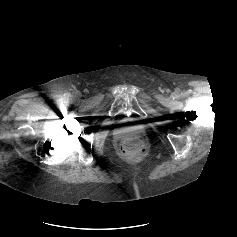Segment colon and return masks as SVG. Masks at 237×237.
Here are the masks:
<instances>
[{
    "mask_svg": "<svg viewBox=\"0 0 237 237\" xmlns=\"http://www.w3.org/2000/svg\"><path fill=\"white\" fill-rule=\"evenodd\" d=\"M121 151L127 156H140L146 152V143L138 133H128L121 142Z\"/></svg>",
    "mask_w": 237,
    "mask_h": 237,
    "instance_id": "1",
    "label": "colon"
}]
</instances>
